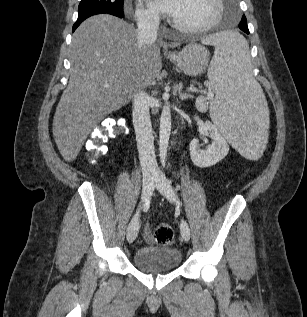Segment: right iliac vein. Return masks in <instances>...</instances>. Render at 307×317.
Returning a JSON list of instances; mask_svg holds the SVG:
<instances>
[{"mask_svg":"<svg viewBox=\"0 0 307 317\" xmlns=\"http://www.w3.org/2000/svg\"><path fill=\"white\" fill-rule=\"evenodd\" d=\"M156 178L146 176L143 178L142 200L145 202L152 194ZM139 231V214L137 213L128 225L126 237L129 242H133Z\"/></svg>","mask_w":307,"mask_h":317,"instance_id":"obj_1","label":"right iliac vein"}]
</instances>
